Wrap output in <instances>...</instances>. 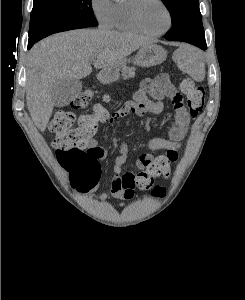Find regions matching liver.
Listing matches in <instances>:
<instances>
[{
    "label": "liver",
    "mask_w": 245,
    "mask_h": 300,
    "mask_svg": "<svg viewBox=\"0 0 245 300\" xmlns=\"http://www.w3.org/2000/svg\"><path fill=\"white\" fill-rule=\"evenodd\" d=\"M142 36L105 29H80L49 36L29 54L26 100L31 118L44 132L52 115V89L66 79H82L96 69H105L137 49L150 45Z\"/></svg>",
    "instance_id": "liver-1"
}]
</instances>
